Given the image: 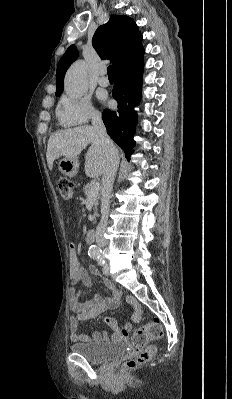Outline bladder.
<instances>
[{
	"label": "bladder",
	"mask_w": 232,
	"mask_h": 399,
	"mask_svg": "<svg viewBox=\"0 0 232 399\" xmlns=\"http://www.w3.org/2000/svg\"><path fill=\"white\" fill-rule=\"evenodd\" d=\"M71 350L90 362L101 363L125 354L126 345L123 342H77L71 345Z\"/></svg>",
	"instance_id": "1"
}]
</instances>
